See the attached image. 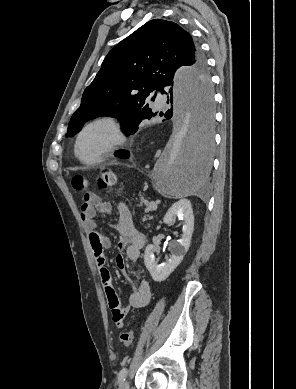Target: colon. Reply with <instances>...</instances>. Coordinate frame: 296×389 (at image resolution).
Wrapping results in <instances>:
<instances>
[{
  "mask_svg": "<svg viewBox=\"0 0 296 389\" xmlns=\"http://www.w3.org/2000/svg\"><path fill=\"white\" fill-rule=\"evenodd\" d=\"M97 185L101 189H105V190L115 187L117 185V176L115 172L109 167L101 168L97 176ZM72 187L76 191L86 195L89 193L90 183L88 178L85 177L84 175H75L72 178ZM121 318L122 315L120 313L117 312L114 314L113 319L115 322L120 321ZM133 338H134V331L133 330L126 331L120 335V342L122 343L123 346L128 347L132 344Z\"/></svg>",
  "mask_w": 296,
  "mask_h": 389,
  "instance_id": "5ec220e1",
  "label": "colon"
}]
</instances>
